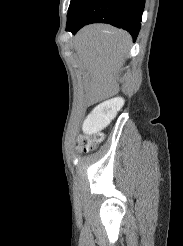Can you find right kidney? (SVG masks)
Segmentation results:
<instances>
[{"mask_svg": "<svg viewBox=\"0 0 183 246\" xmlns=\"http://www.w3.org/2000/svg\"><path fill=\"white\" fill-rule=\"evenodd\" d=\"M123 105L124 99L120 97L99 104L85 119L82 127L83 132L91 135L106 128Z\"/></svg>", "mask_w": 183, "mask_h": 246, "instance_id": "obj_1", "label": "right kidney"}]
</instances>
